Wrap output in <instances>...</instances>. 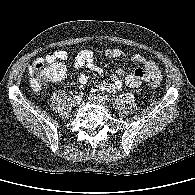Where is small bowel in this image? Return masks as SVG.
Here are the masks:
<instances>
[{
	"label": "small bowel",
	"instance_id": "small-bowel-1",
	"mask_svg": "<svg viewBox=\"0 0 195 195\" xmlns=\"http://www.w3.org/2000/svg\"><path fill=\"white\" fill-rule=\"evenodd\" d=\"M98 53L104 55L107 59H116L120 57H125L126 54L124 51L120 49H106L102 51H98ZM96 52L92 50H82L79 51L73 61V65L76 68L87 65L89 68L97 71L101 74V70L94 65ZM51 59H60L64 60L68 57V52L66 50H56L50 54H48ZM131 60L141 67L134 69L131 73L126 75L124 83L127 87L131 89L138 88L142 82L150 81L154 79H161L162 75L157 66V64L151 60L145 58L143 55L135 54L131 56ZM123 70L118 69L112 76L111 80H103L101 84L92 89V92H96L98 90L105 91L108 93L117 92L123 85V81L121 79L123 75ZM78 82L81 85H85L88 82V76L86 74H81L78 77Z\"/></svg>",
	"mask_w": 195,
	"mask_h": 195
}]
</instances>
